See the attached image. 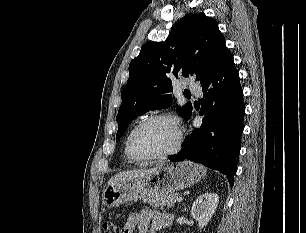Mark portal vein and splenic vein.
<instances>
[{
    "label": "portal vein and splenic vein",
    "mask_w": 306,
    "mask_h": 233,
    "mask_svg": "<svg viewBox=\"0 0 306 233\" xmlns=\"http://www.w3.org/2000/svg\"><path fill=\"white\" fill-rule=\"evenodd\" d=\"M182 200H183V198L181 196L176 198V201H178V202H181Z\"/></svg>",
    "instance_id": "18ae733b"
}]
</instances>
